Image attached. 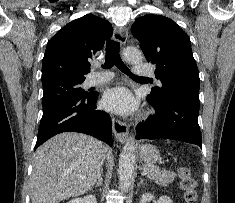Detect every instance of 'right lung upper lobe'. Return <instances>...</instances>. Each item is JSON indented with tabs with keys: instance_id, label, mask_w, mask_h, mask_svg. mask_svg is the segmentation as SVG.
<instances>
[{
	"instance_id": "right-lung-upper-lobe-1",
	"label": "right lung upper lobe",
	"mask_w": 235,
	"mask_h": 203,
	"mask_svg": "<svg viewBox=\"0 0 235 203\" xmlns=\"http://www.w3.org/2000/svg\"><path fill=\"white\" fill-rule=\"evenodd\" d=\"M111 24L93 14L78 18L59 30L48 42L42 62V84L84 81L89 59L110 38Z\"/></svg>"
}]
</instances>
